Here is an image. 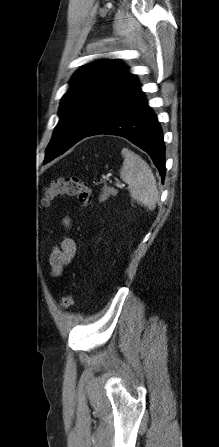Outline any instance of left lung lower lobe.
I'll return each mask as SVG.
<instances>
[{
    "label": "left lung lower lobe",
    "instance_id": "left-lung-lower-lobe-1",
    "mask_svg": "<svg viewBox=\"0 0 219 447\" xmlns=\"http://www.w3.org/2000/svg\"><path fill=\"white\" fill-rule=\"evenodd\" d=\"M99 134L124 137L147 152L164 180L166 168L162 130L137 82L85 137Z\"/></svg>",
    "mask_w": 219,
    "mask_h": 447
}]
</instances>
